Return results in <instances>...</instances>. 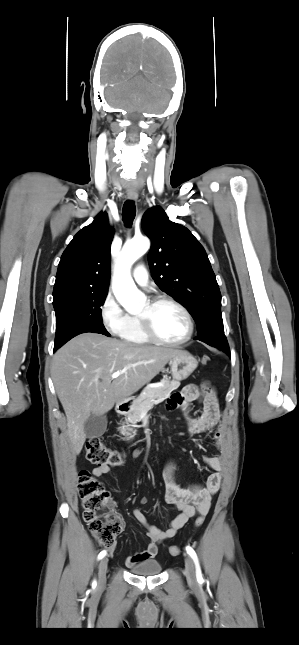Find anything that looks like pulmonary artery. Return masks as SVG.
<instances>
[{"label":"pulmonary artery","mask_w":299,"mask_h":645,"mask_svg":"<svg viewBox=\"0 0 299 645\" xmlns=\"http://www.w3.org/2000/svg\"><path fill=\"white\" fill-rule=\"evenodd\" d=\"M133 278L140 286H147L149 275L144 265H138L133 270Z\"/></svg>","instance_id":"pulmonary-artery-1"}]
</instances>
